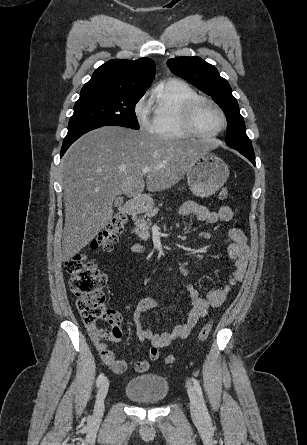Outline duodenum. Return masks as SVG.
<instances>
[{
  "instance_id": "obj_1",
  "label": "duodenum",
  "mask_w": 307,
  "mask_h": 445,
  "mask_svg": "<svg viewBox=\"0 0 307 445\" xmlns=\"http://www.w3.org/2000/svg\"><path fill=\"white\" fill-rule=\"evenodd\" d=\"M147 201L148 198L146 196H138L134 199H131L125 204L124 211L130 216H135L142 211ZM134 250L140 251L141 247L135 246Z\"/></svg>"
}]
</instances>
